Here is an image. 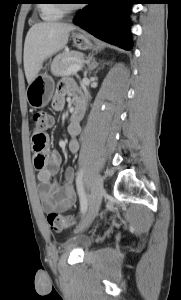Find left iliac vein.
<instances>
[{"mask_svg": "<svg viewBox=\"0 0 181 300\" xmlns=\"http://www.w3.org/2000/svg\"><path fill=\"white\" fill-rule=\"evenodd\" d=\"M103 195H104L103 179L101 176L96 175L94 177L91 193L89 195L88 209L83 219L81 220L79 226L77 227V232H81L91 225V223L93 222V220L98 214Z\"/></svg>", "mask_w": 181, "mask_h": 300, "instance_id": "obj_1", "label": "left iliac vein"}]
</instances>
